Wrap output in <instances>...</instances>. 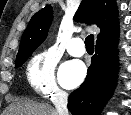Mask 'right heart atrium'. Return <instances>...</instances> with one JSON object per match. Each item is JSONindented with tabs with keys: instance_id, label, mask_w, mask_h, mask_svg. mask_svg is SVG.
Returning a JSON list of instances; mask_svg holds the SVG:
<instances>
[{
	"instance_id": "d8ad5b80",
	"label": "right heart atrium",
	"mask_w": 131,
	"mask_h": 115,
	"mask_svg": "<svg viewBox=\"0 0 131 115\" xmlns=\"http://www.w3.org/2000/svg\"><path fill=\"white\" fill-rule=\"evenodd\" d=\"M56 57L49 50L36 53L26 66V79L30 87L44 98L62 99L66 93L55 77Z\"/></svg>"
}]
</instances>
